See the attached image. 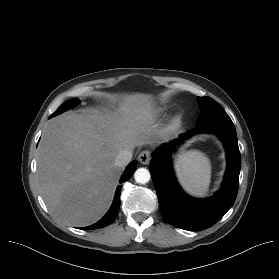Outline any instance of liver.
I'll return each mask as SVG.
<instances>
[{
    "mask_svg": "<svg viewBox=\"0 0 279 279\" xmlns=\"http://www.w3.org/2000/svg\"><path fill=\"white\" fill-rule=\"evenodd\" d=\"M158 138L166 134L146 94L123 95L114 111L87 109L50 120L37 155V179L50 213L75 227L98 221L121 176L117 155L159 143Z\"/></svg>",
    "mask_w": 279,
    "mask_h": 279,
    "instance_id": "1",
    "label": "liver"
}]
</instances>
